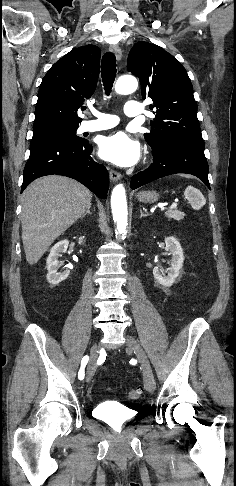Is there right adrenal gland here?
I'll return each mask as SVG.
<instances>
[{
  "label": "right adrenal gland",
  "instance_id": "right-adrenal-gland-1",
  "mask_svg": "<svg viewBox=\"0 0 236 486\" xmlns=\"http://www.w3.org/2000/svg\"><path fill=\"white\" fill-rule=\"evenodd\" d=\"M87 214H91L90 208H88L87 211L81 216V219L84 218Z\"/></svg>",
  "mask_w": 236,
  "mask_h": 486
}]
</instances>
